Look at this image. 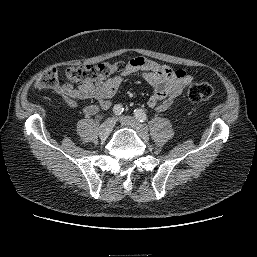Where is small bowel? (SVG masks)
Returning a JSON list of instances; mask_svg holds the SVG:
<instances>
[{
  "instance_id": "obj_1",
  "label": "small bowel",
  "mask_w": 257,
  "mask_h": 257,
  "mask_svg": "<svg viewBox=\"0 0 257 257\" xmlns=\"http://www.w3.org/2000/svg\"><path fill=\"white\" fill-rule=\"evenodd\" d=\"M132 74H138L153 87L154 92L149 97L147 105L157 111L168 109L193 80L192 75L184 70H173L156 61L137 57L128 62L124 72L104 81L94 85H79L77 88L69 82H64L57 85L55 91L73 108L78 107L79 100H95L96 104L83 108L86 115H94L99 109H108L111 106V100L124 78Z\"/></svg>"
}]
</instances>
